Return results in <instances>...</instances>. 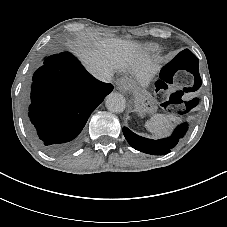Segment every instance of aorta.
I'll use <instances>...</instances> for the list:
<instances>
[{
	"label": "aorta",
	"mask_w": 227,
	"mask_h": 227,
	"mask_svg": "<svg viewBox=\"0 0 227 227\" xmlns=\"http://www.w3.org/2000/svg\"><path fill=\"white\" fill-rule=\"evenodd\" d=\"M126 100L123 95L112 92L106 97V108L113 113H121L125 110Z\"/></svg>",
	"instance_id": "1"
}]
</instances>
